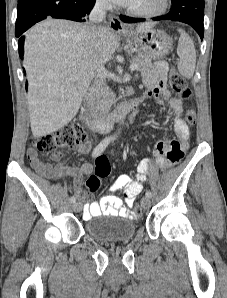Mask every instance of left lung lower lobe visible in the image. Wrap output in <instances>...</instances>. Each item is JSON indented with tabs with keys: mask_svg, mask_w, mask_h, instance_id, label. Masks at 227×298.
<instances>
[{
	"mask_svg": "<svg viewBox=\"0 0 227 298\" xmlns=\"http://www.w3.org/2000/svg\"><path fill=\"white\" fill-rule=\"evenodd\" d=\"M204 0H172V8L167 15L152 18L155 21L173 20L180 21L192 26L199 34L201 40L204 36ZM125 23L145 21L144 18H131L120 16Z\"/></svg>",
	"mask_w": 227,
	"mask_h": 298,
	"instance_id": "1",
	"label": "left lung lower lobe"
}]
</instances>
